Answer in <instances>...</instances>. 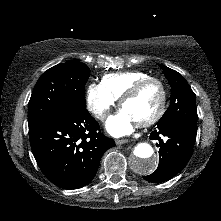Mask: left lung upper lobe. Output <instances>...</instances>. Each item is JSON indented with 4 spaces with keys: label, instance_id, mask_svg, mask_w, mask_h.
Instances as JSON below:
<instances>
[{
    "label": "left lung upper lobe",
    "instance_id": "5c2ea615",
    "mask_svg": "<svg viewBox=\"0 0 221 221\" xmlns=\"http://www.w3.org/2000/svg\"><path fill=\"white\" fill-rule=\"evenodd\" d=\"M165 73L170 86V106L158 124H181L192 133L197 132V109L195 94L187 81L177 71L164 65H159Z\"/></svg>",
    "mask_w": 221,
    "mask_h": 221
}]
</instances>
